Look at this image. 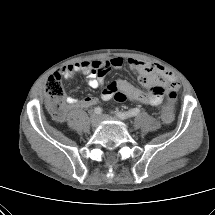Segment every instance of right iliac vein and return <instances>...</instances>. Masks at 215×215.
<instances>
[{
	"label": "right iliac vein",
	"mask_w": 215,
	"mask_h": 215,
	"mask_svg": "<svg viewBox=\"0 0 215 215\" xmlns=\"http://www.w3.org/2000/svg\"><path fill=\"white\" fill-rule=\"evenodd\" d=\"M90 121L92 126H97L100 123V117L96 114H92L90 117Z\"/></svg>",
	"instance_id": "obj_1"
}]
</instances>
